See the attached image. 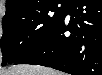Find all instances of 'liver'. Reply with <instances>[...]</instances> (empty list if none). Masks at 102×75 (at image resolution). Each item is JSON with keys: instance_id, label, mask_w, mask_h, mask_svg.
Instances as JSON below:
<instances>
[{"instance_id": "obj_1", "label": "liver", "mask_w": 102, "mask_h": 75, "mask_svg": "<svg viewBox=\"0 0 102 75\" xmlns=\"http://www.w3.org/2000/svg\"><path fill=\"white\" fill-rule=\"evenodd\" d=\"M3 75H61L59 72L38 65H17L2 72Z\"/></svg>"}]
</instances>
